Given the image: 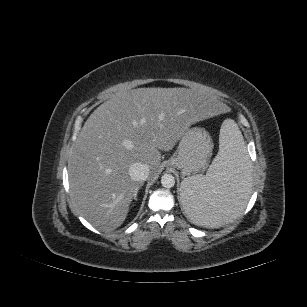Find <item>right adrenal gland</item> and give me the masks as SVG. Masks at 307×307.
Masks as SVG:
<instances>
[{
	"label": "right adrenal gland",
	"mask_w": 307,
	"mask_h": 307,
	"mask_svg": "<svg viewBox=\"0 0 307 307\" xmlns=\"http://www.w3.org/2000/svg\"><path fill=\"white\" fill-rule=\"evenodd\" d=\"M134 199L137 200V193L134 195Z\"/></svg>",
	"instance_id": "right-adrenal-gland-1"
}]
</instances>
